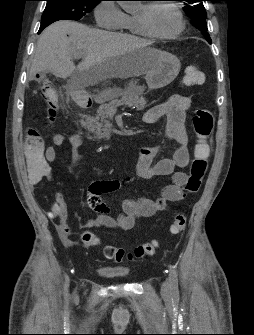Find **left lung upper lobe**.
Wrapping results in <instances>:
<instances>
[{"instance_id":"obj_1","label":"left lung upper lobe","mask_w":254,"mask_h":335,"mask_svg":"<svg viewBox=\"0 0 254 335\" xmlns=\"http://www.w3.org/2000/svg\"><path fill=\"white\" fill-rule=\"evenodd\" d=\"M181 1H186L188 3L185 7H183V10L187 14V16L191 18V23L203 33L207 41H211L209 33L207 32V14L202 0Z\"/></svg>"}]
</instances>
